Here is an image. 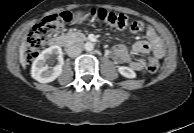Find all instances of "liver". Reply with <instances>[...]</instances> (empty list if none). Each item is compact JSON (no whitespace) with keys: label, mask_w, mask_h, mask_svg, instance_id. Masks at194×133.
<instances>
[{"label":"liver","mask_w":194,"mask_h":133,"mask_svg":"<svg viewBox=\"0 0 194 133\" xmlns=\"http://www.w3.org/2000/svg\"><path fill=\"white\" fill-rule=\"evenodd\" d=\"M26 41H23L22 45L20 46L19 50V60L23 68L26 67V58H25V51H26Z\"/></svg>","instance_id":"6515ba94"}]
</instances>
